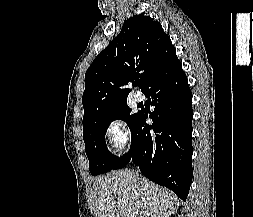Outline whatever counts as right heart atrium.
Segmentation results:
<instances>
[{"label":"right heart atrium","instance_id":"d8ad5b80","mask_svg":"<svg viewBox=\"0 0 253 217\" xmlns=\"http://www.w3.org/2000/svg\"><path fill=\"white\" fill-rule=\"evenodd\" d=\"M105 135L115 152H121L130 139L127 125L120 118H114L107 123Z\"/></svg>","mask_w":253,"mask_h":217}]
</instances>
